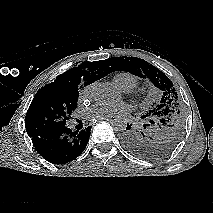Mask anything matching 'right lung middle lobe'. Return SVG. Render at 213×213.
Wrapping results in <instances>:
<instances>
[{"instance_id": "right-lung-middle-lobe-1", "label": "right lung middle lobe", "mask_w": 213, "mask_h": 213, "mask_svg": "<svg viewBox=\"0 0 213 213\" xmlns=\"http://www.w3.org/2000/svg\"><path fill=\"white\" fill-rule=\"evenodd\" d=\"M78 87H42L36 93L26 114L25 126L30 137L64 127L77 108Z\"/></svg>"}]
</instances>
